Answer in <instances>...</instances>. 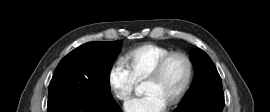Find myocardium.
<instances>
[{
	"mask_svg": "<svg viewBox=\"0 0 270 112\" xmlns=\"http://www.w3.org/2000/svg\"><path fill=\"white\" fill-rule=\"evenodd\" d=\"M175 57H180L186 62L187 77L179 93L171 101L167 103L168 106H174V105L179 104L183 100V98L186 96V94L188 93L192 85V82L194 79V65L191 58L184 52L172 51L166 54L164 57H162L159 60V62L156 64V66L153 68V70L146 77V80L159 79L162 76L169 61Z\"/></svg>",
	"mask_w": 270,
	"mask_h": 112,
	"instance_id": "obj_1",
	"label": "myocardium"
}]
</instances>
